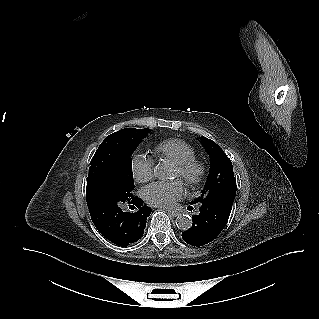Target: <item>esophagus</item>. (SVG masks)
<instances>
[{"mask_svg":"<svg viewBox=\"0 0 319 319\" xmlns=\"http://www.w3.org/2000/svg\"><path fill=\"white\" fill-rule=\"evenodd\" d=\"M167 213L173 217H177L179 215V212L175 210H167Z\"/></svg>","mask_w":319,"mask_h":319,"instance_id":"34e87169","label":"esophagus"}]
</instances>
